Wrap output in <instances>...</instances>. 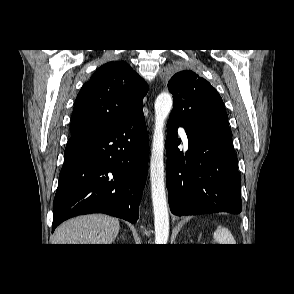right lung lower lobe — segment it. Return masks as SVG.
<instances>
[{
	"label": "right lung lower lobe",
	"mask_w": 294,
	"mask_h": 294,
	"mask_svg": "<svg viewBox=\"0 0 294 294\" xmlns=\"http://www.w3.org/2000/svg\"><path fill=\"white\" fill-rule=\"evenodd\" d=\"M148 155L142 109L114 126L71 137L54 198L52 232L63 221L88 213L135 223Z\"/></svg>",
	"instance_id": "obj_1"
}]
</instances>
